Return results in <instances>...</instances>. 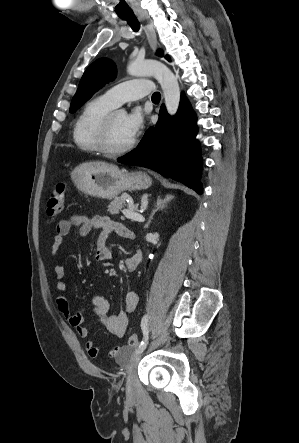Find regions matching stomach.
I'll return each instance as SVG.
<instances>
[{"mask_svg": "<svg viewBox=\"0 0 299 443\" xmlns=\"http://www.w3.org/2000/svg\"><path fill=\"white\" fill-rule=\"evenodd\" d=\"M71 179L81 192L112 199L124 191L147 189L152 179L144 172H123L116 165L84 163L71 172Z\"/></svg>", "mask_w": 299, "mask_h": 443, "instance_id": "stomach-1", "label": "stomach"}]
</instances>
